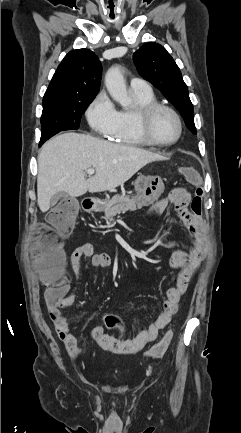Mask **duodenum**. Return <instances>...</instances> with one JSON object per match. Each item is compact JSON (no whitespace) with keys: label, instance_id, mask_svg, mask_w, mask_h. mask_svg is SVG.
Returning <instances> with one entry per match:
<instances>
[{"label":"duodenum","instance_id":"410a0bca","mask_svg":"<svg viewBox=\"0 0 241 433\" xmlns=\"http://www.w3.org/2000/svg\"><path fill=\"white\" fill-rule=\"evenodd\" d=\"M82 206L86 212L90 213L96 210L97 202L93 198L86 197L82 200Z\"/></svg>","mask_w":241,"mask_h":433}]
</instances>
